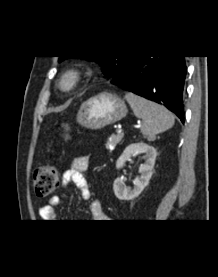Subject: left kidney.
<instances>
[{
	"mask_svg": "<svg viewBox=\"0 0 218 277\" xmlns=\"http://www.w3.org/2000/svg\"><path fill=\"white\" fill-rule=\"evenodd\" d=\"M145 153V163L139 167L140 177L134 180V187L126 186L123 178L117 177L113 184V190L115 196L119 200H132L138 197L144 188L149 184V180L153 174V168L156 160V149L143 142L134 143L128 145L121 156L116 162V168L119 170L123 168L126 161L130 160L131 157L136 153Z\"/></svg>",
	"mask_w": 218,
	"mask_h": 277,
	"instance_id": "obj_1",
	"label": "left kidney"
}]
</instances>
